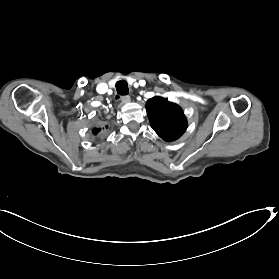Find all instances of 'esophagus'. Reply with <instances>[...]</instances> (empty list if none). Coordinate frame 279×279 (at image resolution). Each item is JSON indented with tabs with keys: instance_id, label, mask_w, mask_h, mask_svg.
I'll return each instance as SVG.
<instances>
[{
	"instance_id": "obj_1",
	"label": "esophagus",
	"mask_w": 279,
	"mask_h": 279,
	"mask_svg": "<svg viewBox=\"0 0 279 279\" xmlns=\"http://www.w3.org/2000/svg\"><path fill=\"white\" fill-rule=\"evenodd\" d=\"M121 99L123 103H127L130 101V97L128 95H123Z\"/></svg>"
}]
</instances>
